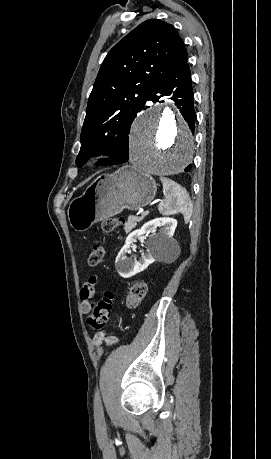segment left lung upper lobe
<instances>
[{"mask_svg":"<svg viewBox=\"0 0 271 459\" xmlns=\"http://www.w3.org/2000/svg\"><path fill=\"white\" fill-rule=\"evenodd\" d=\"M188 61L173 25L150 19L126 35L105 57L86 109L78 167L106 153L109 165L129 153V132L150 94Z\"/></svg>","mask_w":271,"mask_h":459,"instance_id":"obj_1","label":"left lung upper lobe"}]
</instances>
